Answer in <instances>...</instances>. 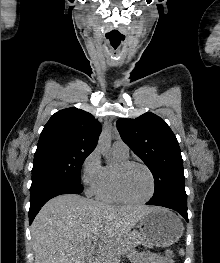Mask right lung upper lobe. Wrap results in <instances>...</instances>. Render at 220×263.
<instances>
[{
	"mask_svg": "<svg viewBox=\"0 0 220 263\" xmlns=\"http://www.w3.org/2000/svg\"><path fill=\"white\" fill-rule=\"evenodd\" d=\"M101 129L100 122L84 110H60L44 126L36 152L56 148L93 151Z\"/></svg>",
	"mask_w": 220,
	"mask_h": 263,
	"instance_id": "obj_1",
	"label": "right lung upper lobe"
}]
</instances>
